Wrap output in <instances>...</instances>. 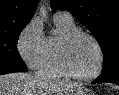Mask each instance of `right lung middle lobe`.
<instances>
[{
	"mask_svg": "<svg viewBox=\"0 0 119 95\" xmlns=\"http://www.w3.org/2000/svg\"><path fill=\"white\" fill-rule=\"evenodd\" d=\"M27 24L20 23L0 27V67L14 68L22 72L27 71L17 50L19 35Z\"/></svg>",
	"mask_w": 119,
	"mask_h": 95,
	"instance_id": "dd1d6c3e",
	"label": "right lung middle lobe"
}]
</instances>
